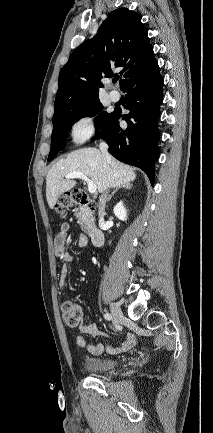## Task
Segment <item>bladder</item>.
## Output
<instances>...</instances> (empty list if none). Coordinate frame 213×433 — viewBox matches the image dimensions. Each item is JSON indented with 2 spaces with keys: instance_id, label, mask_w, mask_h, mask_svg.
<instances>
[{
  "instance_id": "31cf9c89",
  "label": "bladder",
  "mask_w": 213,
  "mask_h": 433,
  "mask_svg": "<svg viewBox=\"0 0 213 433\" xmlns=\"http://www.w3.org/2000/svg\"><path fill=\"white\" fill-rule=\"evenodd\" d=\"M86 371L92 374H103L117 366V360L109 356L86 355L83 360Z\"/></svg>"
}]
</instances>
